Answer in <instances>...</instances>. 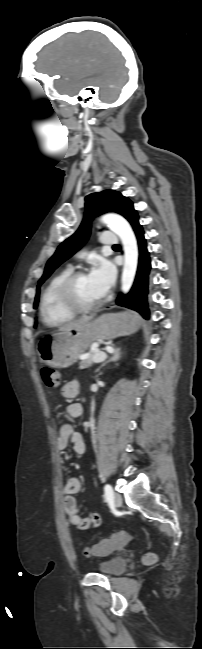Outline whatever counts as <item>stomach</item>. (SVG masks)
<instances>
[{
    "label": "stomach",
    "mask_w": 202,
    "mask_h": 649,
    "mask_svg": "<svg viewBox=\"0 0 202 649\" xmlns=\"http://www.w3.org/2000/svg\"><path fill=\"white\" fill-rule=\"evenodd\" d=\"M137 317L131 313L104 314L83 327L58 331L39 340L37 353L53 368H67L94 342L130 334L136 330Z\"/></svg>",
    "instance_id": "stomach-1"
}]
</instances>
